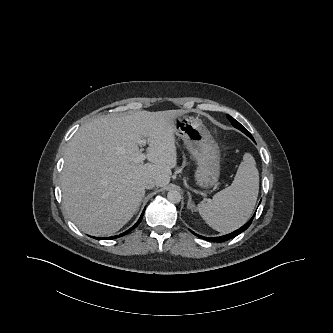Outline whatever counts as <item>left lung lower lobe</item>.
<instances>
[{
  "label": "left lung lower lobe",
  "mask_w": 333,
  "mask_h": 333,
  "mask_svg": "<svg viewBox=\"0 0 333 333\" xmlns=\"http://www.w3.org/2000/svg\"><path fill=\"white\" fill-rule=\"evenodd\" d=\"M255 214L253 215V217L242 227H240L239 229L235 230L234 232L227 234V235H223V236H219V237H213V238H209L211 241L213 242H225L227 240H230L234 237H236L237 235H239L240 233H242L243 231H245L251 224L253 218H254ZM193 234H195L193 231H191ZM197 235V234H195ZM201 238L207 240L206 237L200 236Z\"/></svg>",
  "instance_id": "left-lung-lower-lobe-1"
}]
</instances>
